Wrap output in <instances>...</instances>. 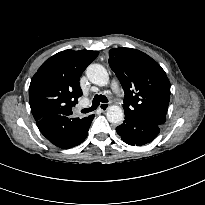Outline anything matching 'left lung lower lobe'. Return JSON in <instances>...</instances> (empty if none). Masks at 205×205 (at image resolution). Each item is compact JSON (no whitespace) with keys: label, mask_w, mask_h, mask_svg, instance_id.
<instances>
[{"label":"left lung lower lobe","mask_w":205,"mask_h":205,"mask_svg":"<svg viewBox=\"0 0 205 205\" xmlns=\"http://www.w3.org/2000/svg\"><path fill=\"white\" fill-rule=\"evenodd\" d=\"M121 139L129 145L142 146L151 142L160 132V125L129 116L116 128Z\"/></svg>","instance_id":"1"}]
</instances>
